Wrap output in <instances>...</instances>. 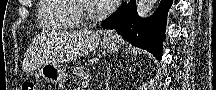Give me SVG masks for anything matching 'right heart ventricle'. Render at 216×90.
Instances as JSON below:
<instances>
[{
	"instance_id": "1",
	"label": "right heart ventricle",
	"mask_w": 216,
	"mask_h": 90,
	"mask_svg": "<svg viewBox=\"0 0 216 90\" xmlns=\"http://www.w3.org/2000/svg\"><path fill=\"white\" fill-rule=\"evenodd\" d=\"M43 7H38V26L40 28H86L81 19H74L70 7L78 0H40Z\"/></svg>"
}]
</instances>
